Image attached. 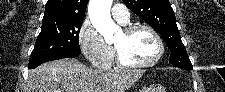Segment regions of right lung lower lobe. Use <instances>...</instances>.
<instances>
[{
	"label": "right lung lower lobe",
	"instance_id": "98d812e1",
	"mask_svg": "<svg viewBox=\"0 0 225 92\" xmlns=\"http://www.w3.org/2000/svg\"><path fill=\"white\" fill-rule=\"evenodd\" d=\"M80 53H81V51H79V52L70 51V52H64V53L57 54V55H50V56H47V57L34 59V60L29 61L28 68L29 69L36 68L40 64L48 62V61H53V60L68 58V57H77V56L80 55Z\"/></svg>",
	"mask_w": 225,
	"mask_h": 92
}]
</instances>
